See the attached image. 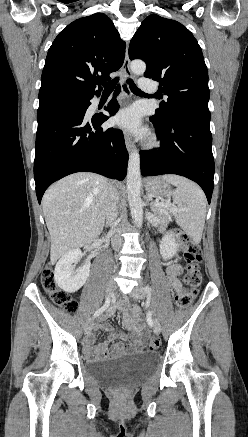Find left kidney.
<instances>
[{"label": "left kidney", "mask_w": 248, "mask_h": 437, "mask_svg": "<svg viewBox=\"0 0 248 437\" xmlns=\"http://www.w3.org/2000/svg\"><path fill=\"white\" fill-rule=\"evenodd\" d=\"M160 254L164 259H170L178 250V244L176 243V234L173 232H167L160 241Z\"/></svg>", "instance_id": "1"}]
</instances>
